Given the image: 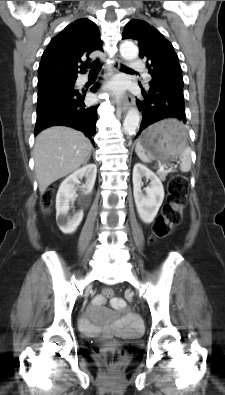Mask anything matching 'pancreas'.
I'll list each match as a JSON object with an SVG mask.
<instances>
[{"mask_svg": "<svg viewBox=\"0 0 225 395\" xmlns=\"http://www.w3.org/2000/svg\"><path fill=\"white\" fill-rule=\"evenodd\" d=\"M158 175H159V177H160L162 180H165V179H166V176H167V172H166V171H160V172H158Z\"/></svg>", "mask_w": 225, "mask_h": 395, "instance_id": "1", "label": "pancreas"}]
</instances>
